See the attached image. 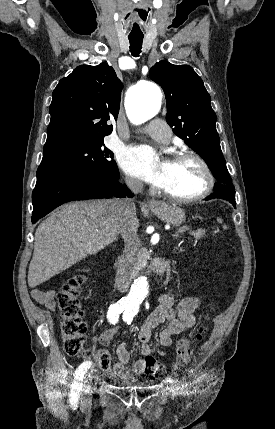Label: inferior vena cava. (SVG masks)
Segmentation results:
<instances>
[{
    "label": "inferior vena cava",
    "mask_w": 275,
    "mask_h": 429,
    "mask_svg": "<svg viewBox=\"0 0 275 429\" xmlns=\"http://www.w3.org/2000/svg\"><path fill=\"white\" fill-rule=\"evenodd\" d=\"M126 184L128 188L135 194L141 192L143 184L139 181L127 178ZM136 212V207L132 199H119L116 204V223L119 231L124 239L125 253L128 262H135L140 247V240L135 230L133 217Z\"/></svg>",
    "instance_id": "602c4592"
}]
</instances>
